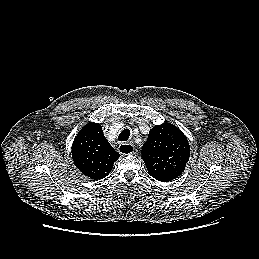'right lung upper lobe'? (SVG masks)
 Listing matches in <instances>:
<instances>
[{
  "label": "right lung upper lobe",
  "mask_w": 259,
  "mask_h": 259,
  "mask_svg": "<svg viewBox=\"0 0 259 259\" xmlns=\"http://www.w3.org/2000/svg\"><path fill=\"white\" fill-rule=\"evenodd\" d=\"M120 154L105 138L102 126L88 123L77 134L72 145L75 166L93 180H100L111 172Z\"/></svg>",
  "instance_id": "right-lung-upper-lobe-1"
}]
</instances>
